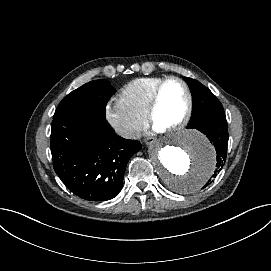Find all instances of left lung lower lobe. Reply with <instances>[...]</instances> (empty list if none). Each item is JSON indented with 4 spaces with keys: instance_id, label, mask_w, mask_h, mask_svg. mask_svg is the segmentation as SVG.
I'll return each mask as SVG.
<instances>
[{
    "instance_id": "1",
    "label": "left lung lower lobe",
    "mask_w": 271,
    "mask_h": 271,
    "mask_svg": "<svg viewBox=\"0 0 271 271\" xmlns=\"http://www.w3.org/2000/svg\"><path fill=\"white\" fill-rule=\"evenodd\" d=\"M192 129H197L205 134L209 141L214 144L217 157L216 168L212 177H216L222 170L227 157L228 129L223 107L209 109ZM210 182L211 179L205 186L209 185Z\"/></svg>"
}]
</instances>
